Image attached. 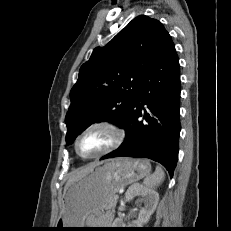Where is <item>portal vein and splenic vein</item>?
Instances as JSON below:
<instances>
[{
  "instance_id": "1",
  "label": "portal vein and splenic vein",
  "mask_w": 231,
  "mask_h": 231,
  "mask_svg": "<svg viewBox=\"0 0 231 231\" xmlns=\"http://www.w3.org/2000/svg\"><path fill=\"white\" fill-rule=\"evenodd\" d=\"M115 199H118V195H115Z\"/></svg>"
}]
</instances>
